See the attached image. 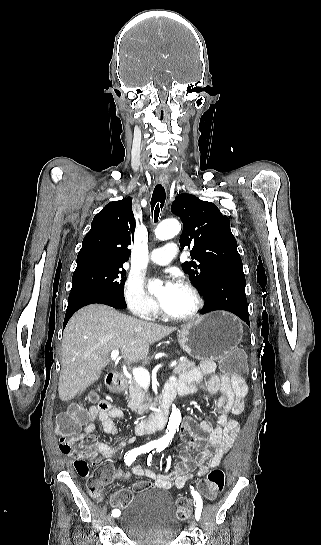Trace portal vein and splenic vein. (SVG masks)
I'll return each instance as SVG.
<instances>
[{
  "mask_svg": "<svg viewBox=\"0 0 321 545\" xmlns=\"http://www.w3.org/2000/svg\"><path fill=\"white\" fill-rule=\"evenodd\" d=\"M119 357V351H112L111 353V359L112 361H116ZM172 365H169V368H173V366H177L176 361H171ZM132 375L138 383V385H141V387H148L150 385V373L147 371V369H133Z\"/></svg>",
  "mask_w": 321,
  "mask_h": 545,
  "instance_id": "18ae733b",
  "label": "portal vein and splenic vein"
}]
</instances>
